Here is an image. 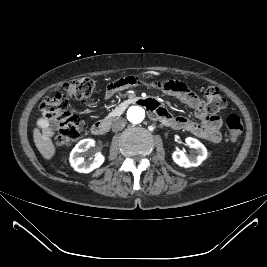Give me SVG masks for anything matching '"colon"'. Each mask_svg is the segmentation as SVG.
Returning <instances> with one entry per match:
<instances>
[{
	"instance_id": "1",
	"label": "colon",
	"mask_w": 267,
	"mask_h": 267,
	"mask_svg": "<svg viewBox=\"0 0 267 267\" xmlns=\"http://www.w3.org/2000/svg\"><path fill=\"white\" fill-rule=\"evenodd\" d=\"M98 89V82L92 78H79L64 83L53 93L46 96L40 104L43 120L58 126L59 131L55 143L59 147H69L76 142L81 133L79 117L69 107L72 100H86ZM208 112L216 114L226 106V100L219 90L207 88L205 92ZM226 126L230 141L236 142L243 131L241 118L231 114L226 118Z\"/></svg>"
}]
</instances>
